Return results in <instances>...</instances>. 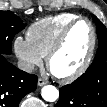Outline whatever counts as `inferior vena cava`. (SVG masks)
<instances>
[{
    "label": "inferior vena cava",
    "instance_id": "inferior-vena-cava-1",
    "mask_svg": "<svg viewBox=\"0 0 107 107\" xmlns=\"http://www.w3.org/2000/svg\"><path fill=\"white\" fill-rule=\"evenodd\" d=\"M17 67L20 70H23L27 73H31L34 70V65L27 62V61H24V60H19L18 63H17Z\"/></svg>",
    "mask_w": 107,
    "mask_h": 107
}]
</instances>
